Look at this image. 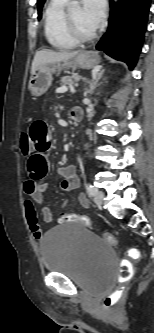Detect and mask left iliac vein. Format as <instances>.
<instances>
[{
	"mask_svg": "<svg viewBox=\"0 0 154 333\" xmlns=\"http://www.w3.org/2000/svg\"><path fill=\"white\" fill-rule=\"evenodd\" d=\"M104 193L102 191H97L94 195V202L96 205L100 206L103 203Z\"/></svg>",
	"mask_w": 154,
	"mask_h": 333,
	"instance_id": "obj_1",
	"label": "left iliac vein"
}]
</instances>
